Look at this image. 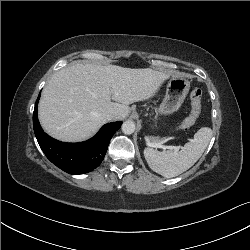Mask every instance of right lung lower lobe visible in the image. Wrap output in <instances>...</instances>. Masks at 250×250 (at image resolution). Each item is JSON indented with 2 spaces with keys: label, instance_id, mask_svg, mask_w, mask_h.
<instances>
[{
  "label": "right lung lower lobe",
  "instance_id": "1",
  "mask_svg": "<svg viewBox=\"0 0 250 250\" xmlns=\"http://www.w3.org/2000/svg\"><path fill=\"white\" fill-rule=\"evenodd\" d=\"M39 98L40 94L35 103L33 127L39 146L46 157L61 170L73 175L85 174L97 168L105 157L113 134L120 128L122 122L105 124L93 138L85 142H60L44 133L39 124L37 116Z\"/></svg>",
  "mask_w": 250,
  "mask_h": 250
}]
</instances>
